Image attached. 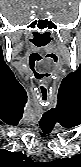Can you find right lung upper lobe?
Masks as SVG:
<instances>
[{
    "mask_svg": "<svg viewBox=\"0 0 81 167\" xmlns=\"http://www.w3.org/2000/svg\"><path fill=\"white\" fill-rule=\"evenodd\" d=\"M36 163L32 162L22 152H10L7 150L0 151V167H35Z\"/></svg>",
    "mask_w": 81,
    "mask_h": 167,
    "instance_id": "cb5924a9",
    "label": "right lung upper lobe"
}]
</instances>
